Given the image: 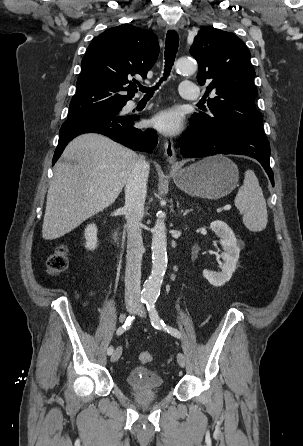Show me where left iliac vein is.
I'll return each mask as SVG.
<instances>
[{
    "instance_id": "left-iliac-vein-1",
    "label": "left iliac vein",
    "mask_w": 303,
    "mask_h": 446,
    "mask_svg": "<svg viewBox=\"0 0 303 446\" xmlns=\"http://www.w3.org/2000/svg\"><path fill=\"white\" fill-rule=\"evenodd\" d=\"M136 313L140 316H144L146 314L145 312V308L143 306H138V308L136 309ZM177 362L180 365V367H184L186 364V357L183 353H178L177 354Z\"/></svg>"
}]
</instances>
